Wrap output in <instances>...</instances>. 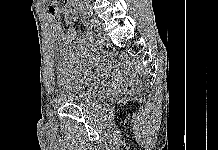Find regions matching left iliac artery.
Listing matches in <instances>:
<instances>
[{"mask_svg": "<svg viewBox=\"0 0 218 150\" xmlns=\"http://www.w3.org/2000/svg\"><path fill=\"white\" fill-rule=\"evenodd\" d=\"M89 30H91L92 32L95 30L93 28V19H88V22L85 24Z\"/></svg>", "mask_w": 218, "mask_h": 150, "instance_id": "left-iliac-artery-1", "label": "left iliac artery"}]
</instances>
